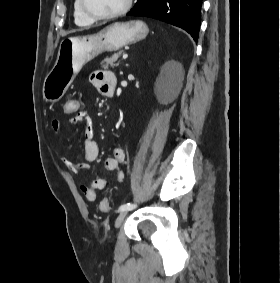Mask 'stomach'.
I'll list each match as a JSON object with an SVG mask.
<instances>
[{"instance_id":"0dacf381","label":"stomach","mask_w":280,"mask_h":283,"mask_svg":"<svg viewBox=\"0 0 280 283\" xmlns=\"http://www.w3.org/2000/svg\"><path fill=\"white\" fill-rule=\"evenodd\" d=\"M148 32L143 21L132 20L113 23L95 34L64 38L56 62L44 80L43 98L57 102L86 63L104 52H115L143 40Z\"/></svg>"}]
</instances>
